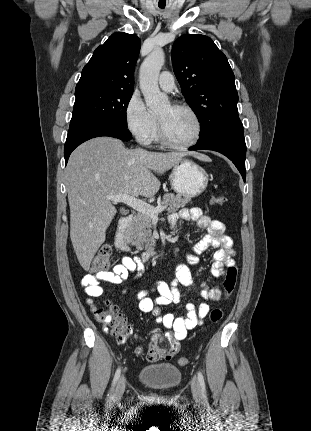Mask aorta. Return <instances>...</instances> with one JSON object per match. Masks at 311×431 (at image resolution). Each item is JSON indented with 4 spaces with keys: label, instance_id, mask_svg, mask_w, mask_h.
<instances>
[{
    "label": "aorta",
    "instance_id": "762f6f07",
    "mask_svg": "<svg viewBox=\"0 0 311 431\" xmlns=\"http://www.w3.org/2000/svg\"><path fill=\"white\" fill-rule=\"evenodd\" d=\"M164 62L165 54L162 48H158V50L151 52L140 66V90L145 98L146 106L150 110H159V108L170 106L168 96L161 94L158 86V78Z\"/></svg>",
    "mask_w": 311,
    "mask_h": 431
}]
</instances>
